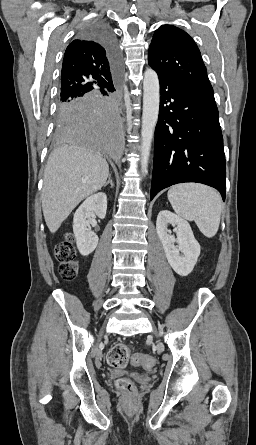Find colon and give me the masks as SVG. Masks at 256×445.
<instances>
[{"label":"colon","instance_id":"5ec220e1","mask_svg":"<svg viewBox=\"0 0 256 445\" xmlns=\"http://www.w3.org/2000/svg\"><path fill=\"white\" fill-rule=\"evenodd\" d=\"M56 256L60 261V272L65 280H72L77 274V263L75 261V248L70 240L59 243L55 249ZM132 361L137 365L151 364L152 359L146 354H136L133 356L132 348L125 343L114 345L107 353V363L114 368H124L128 362ZM116 386L118 390L125 394H133L135 392V384L128 378L117 380Z\"/></svg>","mask_w":256,"mask_h":445}]
</instances>
